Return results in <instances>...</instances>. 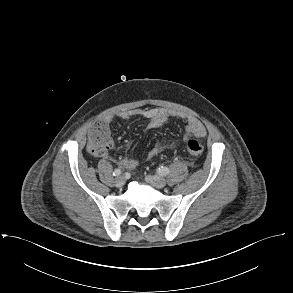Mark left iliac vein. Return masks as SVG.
Segmentation results:
<instances>
[{
	"label": "left iliac vein",
	"mask_w": 293,
	"mask_h": 293,
	"mask_svg": "<svg viewBox=\"0 0 293 293\" xmlns=\"http://www.w3.org/2000/svg\"><path fill=\"white\" fill-rule=\"evenodd\" d=\"M145 180L156 188H164L166 186V180L163 177L158 175H148L145 177Z\"/></svg>",
	"instance_id": "obj_1"
}]
</instances>
